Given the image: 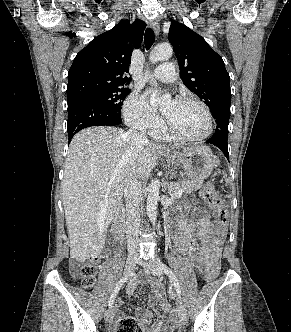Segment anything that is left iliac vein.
<instances>
[{
	"instance_id": "1",
	"label": "left iliac vein",
	"mask_w": 291,
	"mask_h": 332,
	"mask_svg": "<svg viewBox=\"0 0 291 332\" xmlns=\"http://www.w3.org/2000/svg\"><path fill=\"white\" fill-rule=\"evenodd\" d=\"M140 265L145 266L148 270L151 271L152 274L156 276L162 275V270L160 268L161 261L159 259H154L150 261L149 263H144L142 261H138ZM178 316L180 323L185 325L188 322V315L184 307L181 305V303L178 304Z\"/></svg>"
}]
</instances>
